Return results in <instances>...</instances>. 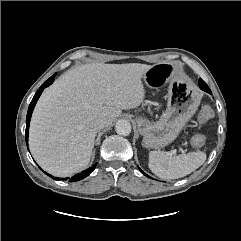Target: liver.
<instances>
[{"label": "liver", "instance_id": "liver-1", "mask_svg": "<svg viewBox=\"0 0 241 241\" xmlns=\"http://www.w3.org/2000/svg\"><path fill=\"white\" fill-rule=\"evenodd\" d=\"M150 67L91 63L57 79L41 95L31 119L29 148L39 166L57 177L86 168L98 132L93 122L105 118L109 126L122 110L138 107Z\"/></svg>", "mask_w": 241, "mask_h": 241}]
</instances>
